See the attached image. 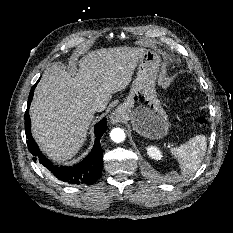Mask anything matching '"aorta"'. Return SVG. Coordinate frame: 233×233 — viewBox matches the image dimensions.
Returning <instances> with one entry per match:
<instances>
[{"label":"aorta","instance_id":"762f6f07","mask_svg":"<svg viewBox=\"0 0 233 233\" xmlns=\"http://www.w3.org/2000/svg\"><path fill=\"white\" fill-rule=\"evenodd\" d=\"M110 137H111L112 141H114L116 143H120V142L124 141L126 138L125 132L121 128L112 129L110 132Z\"/></svg>","mask_w":233,"mask_h":233}]
</instances>
